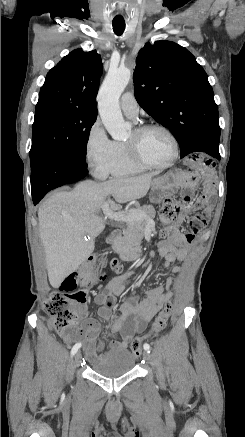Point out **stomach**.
<instances>
[{"label":"stomach","mask_w":245,"mask_h":437,"mask_svg":"<svg viewBox=\"0 0 245 437\" xmlns=\"http://www.w3.org/2000/svg\"><path fill=\"white\" fill-rule=\"evenodd\" d=\"M189 178V175L179 171L155 176L151 182L150 201L154 204H160L174 191L186 186L189 183Z\"/></svg>","instance_id":"stomach-1"}]
</instances>
